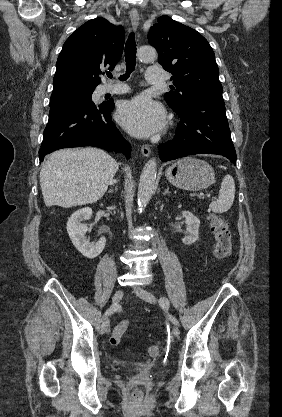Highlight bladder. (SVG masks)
<instances>
[{
    "mask_svg": "<svg viewBox=\"0 0 282 417\" xmlns=\"http://www.w3.org/2000/svg\"><path fill=\"white\" fill-rule=\"evenodd\" d=\"M147 368L146 364L142 363V362H135L132 365V370L134 371H143Z\"/></svg>",
    "mask_w": 282,
    "mask_h": 417,
    "instance_id": "31cf9c89",
    "label": "bladder"
}]
</instances>
